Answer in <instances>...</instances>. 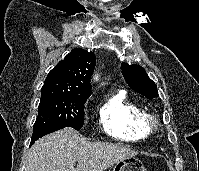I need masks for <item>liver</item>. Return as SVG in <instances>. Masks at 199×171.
I'll list each match as a JSON object with an SVG mask.
<instances>
[{"mask_svg":"<svg viewBox=\"0 0 199 171\" xmlns=\"http://www.w3.org/2000/svg\"><path fill=\"white\" fill-rule=\"evenodd\" d=\"M136 155L121 145L87 141L67 127L44 136L31 147L28 171H104Z\"/></svg>","mask_w":199,"mask_h":171,"instance_id":"obj_1","label":"liver"}]
</instances>
